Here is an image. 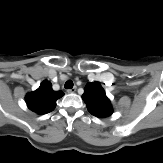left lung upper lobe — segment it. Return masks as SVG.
Instances as JSON below:
<instances>
[{
  "instance_id": "left-lung-upper-lobe-1",
  "label": "left lung upper lobe",
  "mask_w": 163,
  "mask_h": 163,
  "mask_svg": "<svg viewBox=\"0 0 163 163\" xmlns=\"http://www.w3.org/2000/svg\"><path fill=\"white\" fill-rule=\"evenodd\" d=\"M82 98L86 103L88 111L98 118L108 117L113 113L110 100L102 86L97 82L86 85Z\"/></svg>"
}]
</instances>
